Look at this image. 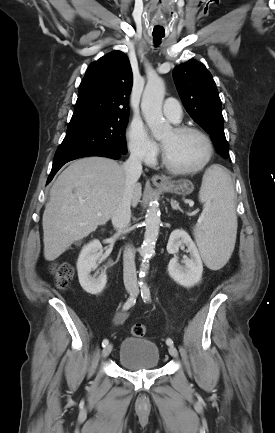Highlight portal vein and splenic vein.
I'll list each match as a JSON object with an SVG mask.
<instances>
[{"label":"portal vein and splenic vein","mask_w":275,"mask_h":433,"mask_svg":"<svg viewBox=\"0 0 275 433\" xmlns=\"http://www.w3.org/2000/svg\"><path fill=\"white\" fill-rule=\"evenodd\" d=\"M199 223H201L202 222V217L199 219V221H198Z\"/></svg>","instance_id":"obj_1"}]
</instances>
